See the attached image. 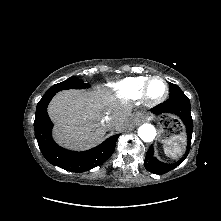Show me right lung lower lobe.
I'll list each match as a JSON object with an SVG mask.
<instances>
[{"label": "right lung lower lobe", "instance_id": "1", "mask_svg": "<svg viewBox=\"0 0 221 221\" xmlns=\"http://www.w3.org/2000/svg\"><path fill=\"white\" fill-rule=\"evenodd\" d=\"M54 95L55 93L45 94L41 98L36 107L34 121L35 137L45 159L60 168L78 173L90 170L110 158L119 134L84 152L66 150L54 142L51 136L53 124L47 113V106Z\"/></svg>", "mask_w": 221, "mask_h": 221}]
</instances>
